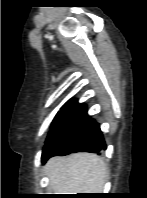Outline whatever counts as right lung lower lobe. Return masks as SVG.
Returning <instances> with one entry per match:
<instances>
[{"label":"right lung lower lobe","instance_id":"obj_1","mask_svg":"<svg viewBox=\"0 0 147 198\" xmlns=\"http://www.w3.org/2000/svg\"><path fill=\"white\" fill-rule=\"evenodd\" d=\"M102 149H106V145L98 123L88 117L86 107L78 105L47 139L42 152V162L55 155L98 153Z\"/></svg>","mask_w":147,"mask_h":198}]
</instances>
